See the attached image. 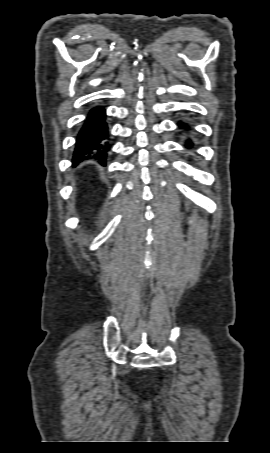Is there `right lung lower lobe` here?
I'll use <instances>...</instances> for the list:
<instances>
[{"mask_svg": "<svg viewBox=\"0 0 270 453\" xmlns=\"http://www.w3.org/2000/svg\"><path fill=\"white\" fill-rule=\"evenodd\" d=\"M110 150L106 111L103 106L90 110L76 137L73 164L82 160L95 159L105 165Z\"/></svg>", "mask_w": 270, "mask_h": 453, "instance_id": "obj_1", "label": "right lung lower lobe"}]
</instances>
